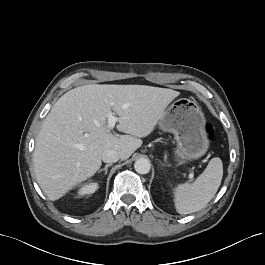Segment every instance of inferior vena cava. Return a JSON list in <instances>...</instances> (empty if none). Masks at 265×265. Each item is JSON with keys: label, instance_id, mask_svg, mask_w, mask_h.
<instances>
[{"label": "inferior vena cava", "instance_id": "inferior-vena-cava-1", "mask_svg": "<svg viewBox=\"0 0 265 265\" xmlns=\"http://www.w3.org/2000/svg\"><path fill=\"white\" fill-rule=\"evenodd\" d=\"M120 159V155L117 151L115 150H106L102 154V161L105 163H114L117 162Z\"/></svg>", "mask_w": 265, "mask_h": 265}]
</instances>
